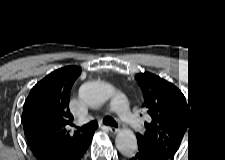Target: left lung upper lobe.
<instances>
[{
    "mask_svg": "<svg viewBox=\"0 0 225 160\" xmlns=\"http://www.w3.org/2000/svg\"><path fill=\"white\" fill-rule=\"evenodd\" d=\"M150 122L137 136L138 148L171 159L179 149L190 122V106L172 83L148 72L136 75Z\"/></svg>",
    "mask_w": 225,
    "mask_h": 160,
    "instance_id": "left-lung-upper-lobe-1",
    "label": "left lung upper lobe"
}]
</instances>
